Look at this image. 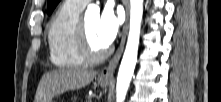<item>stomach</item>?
I'll return each instance as SVG.
<instances>
[{
	"label": "stomach",
	"mask_w": 221,
	"mask_h": 102,
	"mask_svg": "<svg viewBox=\"0 0 221 102\" xmlns=\"http://www.w3.org/2000/svg\"><path fill=\"white\" fill-rule=\"evenodd\" d=\"M110 80H102V79H98V84L102 87L105 88L109 85Z\"/></svg>",
	"instance_id": "1"
}]
</instances>
